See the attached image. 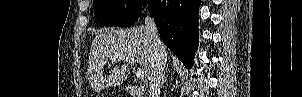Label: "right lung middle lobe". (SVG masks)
Segmentation results:
<instances>
[{
	"label": "right lung middle lobe",
	"instance_id": "obj_1",
	"mask_svg": "<svg viewBox=\"0 0 302 97\" xmlns=\"http://www.w3.org/2000/svg\"><path fill=\"white\" fill-rule=\"evenodd\" d=\"M149 0H93L96 18L101 26H129ZM126 3V10L124 4Z\"/></svg>",
	"mask_w": 302,
	"mask_h": 97
}]
</instances>
